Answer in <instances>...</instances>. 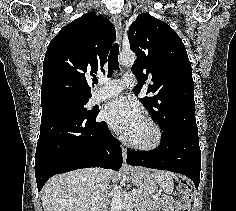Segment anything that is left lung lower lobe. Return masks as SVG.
<instances>
[{
	"label": "left lung lower lobe",
	"mask_w": 236,
	"mask_h": 211,
	"mask_svg": "<svg viewBox=\"0 0 236 211\" xmlns=\"http://www.w3.org/2000/svg\"><path fill=\"white\" fill-rule=\"evenodd\" d=\"M129 165L181 173L199 186L201 151L198 133H163L161 145L152 151L127 150Z\"/></svg>",
	"instance_id": "0a47b994"
}]
</instances>
